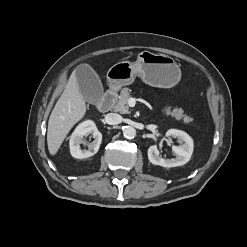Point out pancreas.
Listing matches in <instances>:
<instances>
[{"label":"pancreas","instance_id":"pancreas-1","mask_svg":"<svg viewBox=\"0 0 247 247\" xmlns=\"http://www.w3.org/2000/svg\"><path fill=\"white\" fill-rule=\"evenodd\" d=\"M131 98V93L129 88H123L120 92L119 99L114 105V110L122 114L130 113L128 100ZM167 116L174 117L176 120H183V123H190L193 121V118L184 114V111L181 108H171L167 106L162 110Z\"/></svg>","mask_w":247,"mask_h":247}]
</instances>
